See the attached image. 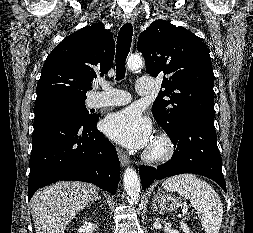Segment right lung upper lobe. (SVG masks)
Here are the masks:
<instances>
[{"label":"right lung upper lobe","mask_w":253,"mask_h":233,"mask_svg":"<svg viewBox=\"0 0 253 233\" xmlns=\"http://www.w3.org/2000/svg\"><path fill=\"white\" fill-rule=\"evenodd\" d=\"M114 47L113 34L103 23L86 26L64 38L45 60L35 103L56 97L86 100L93 79L111 68Z\"/></svg>","instance_id":"right-lung-upper-lobe-1"}]
</instances>
